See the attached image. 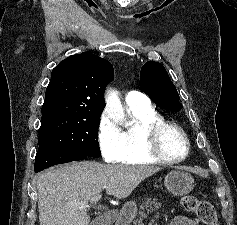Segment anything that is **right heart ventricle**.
Returning a JSON list of instances; mask_svg holds the SVG:
<instances>
[{
	"mask_svg": "<svg viewBox=\"0 0 237 225\" xmlns=\"http://www.w3.org/2000/svg\"><path fill=\"white\" fill-rule=\"evenodd\" d=\"M129 111L134 123L122 132L124 152L119 162L128 165L157 163L158 160L147 150L144 131L150 125L163 121L162 116L150 104L131 106Z\"/></svg>",
	"mask_w": 237,
	"mask_h": 225,
	"instance_id": "obj_1",
	"label": "right heart ventricle"
}]
</instances>
